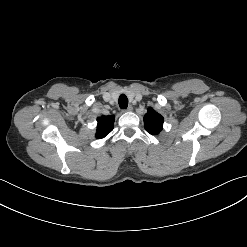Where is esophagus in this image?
<instances>
[{"label":"esophagus","instance_id":"esophagus-1","mask_svg":"<svg viewBox=\"0 0 247 247\" xmlns=\"http://www.w3.org/2000/svg\"><path fill=\"white\" fill-rule=\"evenodd\" d=\"M132 110H133L132 106H128L126 109H123V112H130Z\"/></svg>","mask_w":247,"mask_h":247}]
</instances>
